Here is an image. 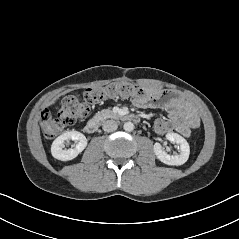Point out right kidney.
Returning a JSON list of instances; mask_svg holds the SVG:
<instances>
[{
	"mask_svg": "<svg viewBox=\"0 0 239 239\" xmlns=\"http://www.w3.org/2000/svg\"><path fill=\"white\" fill-rule=\"evenodd\" d=\"M69 140L75 141L73 148L64 149L65 143ZM87 146L86 137L78 131L65 132L57 137L51 145V154L54 158L61 161H69L74 159Z\"/></svg>",
	"mask_w": 239,
	"mask_h": 239,
	"instance_id": "1",
	"label": "right kidney"
}]
</instances>
